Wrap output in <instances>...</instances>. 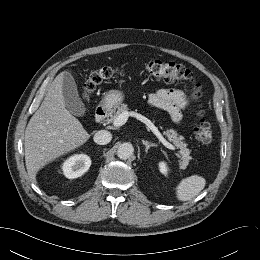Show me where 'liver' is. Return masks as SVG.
<instances>
[{
  "label": "liver",
  "instance_id": "1",
  "mask_svg": "<svg viewBox=\"0 0 260 260\" xmlns=\"http://www.w3.org/2000/svg\"><path fill=\"white\" fill-rule=\"evenodd\" d=\"M63 71L53 80L48 92L25 130V162L29 178L47 163L83 145L90 134L67 109L63 96Z\"/></svg>",
  "mask_w": 260,
  "mask_h": 260
}]
</instances>
